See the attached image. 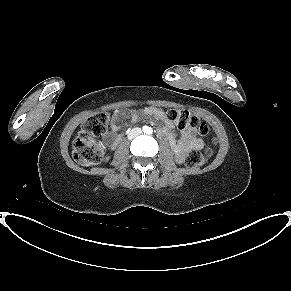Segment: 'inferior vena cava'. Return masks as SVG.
Here are the masks:
<instances>
[{"label":"inferior vena cava","instance_id":"inferior-vena-cava-1","mask_svg":"<svg viewBox=\"0 0 291 291\" xmlns=\"http://www.w3.org/2000/svg\"><path fill=\"white\" fill-rule=\"evenodd\" d=\"M142 133L141 129L138 127H135L133 129L130 130L129 134H128V139H133L137 136H139Z\"/></svg>","mask_w":291,"mask_h":291}]
</instances>
